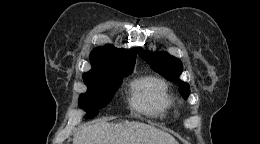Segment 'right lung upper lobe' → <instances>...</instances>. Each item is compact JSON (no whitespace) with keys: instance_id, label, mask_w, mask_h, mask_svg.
I'll return each instance as SVG.
<instances>
[{"instance_id":"right-lung-upper-lobe-1","label":"right lung upper lobe","mask_w":260,"mask_h":144,"mask_svg":"<svg viewBox=\"0 0 260 144\" xmlns=\"http://www.w3.org/2000/svg\"><path fill=\"white\" fill-rule=\"evenodd\" d=\"M137 55V48L117 49L105 45L94 49L90 54L92 69L83 76H99L111 73L132 71Z\"/></svg>"}]
</instances>
